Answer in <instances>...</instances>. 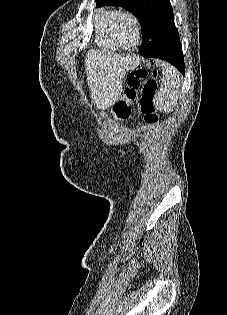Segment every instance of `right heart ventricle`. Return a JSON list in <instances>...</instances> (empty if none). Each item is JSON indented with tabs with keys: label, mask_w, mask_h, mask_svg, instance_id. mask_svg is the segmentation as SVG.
<instances>
[{
	"label": "right heart ventricle",
	"mask_w": 227,
	"mask_h": 315,
	"mask_svg": "<svg viewBox=\"0 0 227 315\" xmlns=\"http://www.w3.org/2000/svg\"><path fill=\"white\" fill-rule=\"evenodd\" d=\"M121 11L111 5H105L94 13V25L96 31V41L98 45L110 51L119 49L113 38V24Z\"/></svg>",
	"instance_id": "obj_1"
}]
</instances>
